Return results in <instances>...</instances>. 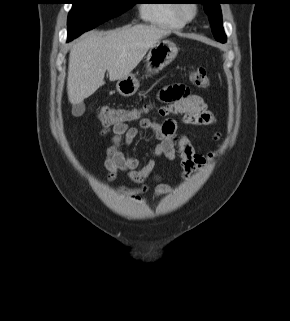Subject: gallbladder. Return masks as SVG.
<instances>
[{
    "label": "gallbladder",
    "instance_id": "obj_1",
    "mask_svg": "<svg viewBox=\"0 0 290 321\" xmlns=\"http://www.w3.org/2000/svg\"><path fill=\"white\" fill-rule=\"evenodd\" d=\"M85 111L84 103L72 104V115L75 117L81 116Z\"/></svg>",
    "mask_w": 290,
    "mask_h": 321
}]
</instances>
